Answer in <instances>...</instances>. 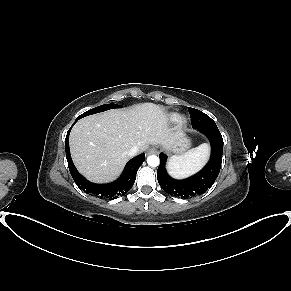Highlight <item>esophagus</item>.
<instances>
[{
	"label": "esophagus",
	"mask_w": 291,
	"mask_h": 291,
	"mask_svg": "<svg viewBox=\"0 0 291 291\" xmlns=\"http://www.w3.org/2000/svg\"><path fill=\"white\" fill-rule=\"evenodd\" d=\"M157 152V149L156 148H151L150 150H149V153H156Z\"/></svg>",
	"instance_id": "1"
}]
</instances>
